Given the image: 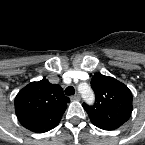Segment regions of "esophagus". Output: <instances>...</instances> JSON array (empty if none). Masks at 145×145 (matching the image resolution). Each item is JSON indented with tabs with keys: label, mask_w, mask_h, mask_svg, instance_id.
<instances>
[{
	"label": "esophagus",
	"mask_w": 145,
	"mask_h": 145,
	"mask_svg": "<svg viewBox=\"0 0 145 145\" xmlns=\"http://www.w3.org/2000/svg\"><path fill=\"white\" fill-rule=\"evenodd\" d=\"M71 100L79 101L80 100V95L75 94V95L71 96Z\"/></svg>",
	"instance_id": "1"
}]
</instances>
